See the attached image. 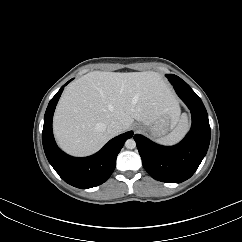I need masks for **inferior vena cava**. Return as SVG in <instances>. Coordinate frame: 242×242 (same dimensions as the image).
<instances>
[{"label": "inferior vena cava", "mask_w": 242, "mask_h": 242, "mask_svg": "<svg viewBox=\"0 0 242 242\" xmlns=\"http://www.w3.org/2000/svg\"><path fill=\"white\" fill-rule=\"evenodd\" d=\"M107 131L112 135V136H116L118 134H120L122 132V127L119 123H111L108 128Z\"/></svg>", "instance_id": "obj_1"}]
</instances>
